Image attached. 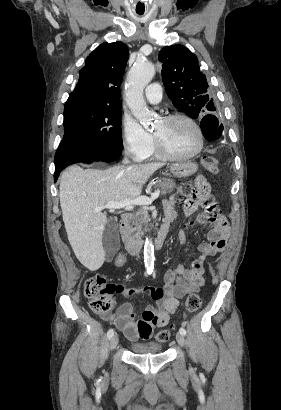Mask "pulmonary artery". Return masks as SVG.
I'll use <instances>...</instances> for the list:
<instances>
[{
  "instance_id": "1",
  "label": "pulmonary artery",
  "mask_w": 281,
  "mask_h": 410,
  "mask_svg": "<svg viewBox=\"0 0 281 410\" xmlns=\"http://www.w3.org/2000/svg\"><path fill=\"white\" fill-rule=\"evenodd\" d=\"M145 96L149 103L158 104L162 100V88L159 83H152L146 87Z\"/></svg>"
}]
</instances>
